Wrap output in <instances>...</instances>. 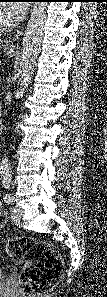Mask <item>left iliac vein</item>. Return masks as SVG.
Segmentation results:
<instances>
[{
	"instance_id": "4c4485c4",
	"label": "left iliac vein",
	"mask_w": 107,
	"mask_h": 297,
	"mask_svg": "<svg viewBox=\"0 0 107 297\" xmlns=\"http://www.w3.org/2000/svg\"><path fill=\"white\" fill-rule=\"evenodd\" d=\"M22 215H23V211L20 207L15 206L12 208L11 217L15 222L20 221L22 218Z\"/></svg>"
}]
</instances>
